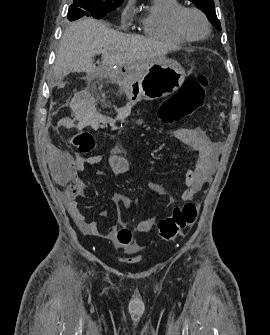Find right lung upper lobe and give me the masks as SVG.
I'll use <instances>...</instances> for the list:
<instances>
[{"label":"right lung upper lobe","instance_id":"right-lung-upper-lobe-1","mask_svg":"<svg viewBox=\"0 0 270 335\" xmlns=\"http://www.w3.org/2000/svg\"><path fill=\"white\" fill-rule=\"evenodd\" d=\"M105 1L116 2V3H122L123 2V0H105Z\"/></svg>","mask_w":270,"mask_h":335}]
</instances>
